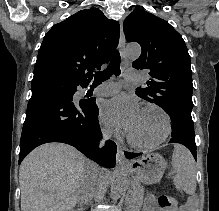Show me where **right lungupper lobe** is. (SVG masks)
Returning a JSON list of instances; mask_svg holds the SVG:
<instances>
[{"label":"right lung upper lobe","instance_id":"1","mask_svg":"<svg viewBox=\"0 0 219 211\" xmlns=\"http://www.w3.org/2000/svg\"><path fill=\"white\" fill-rule=\"evenodd\" d=\"M120 26L97 8L81 10L45 35L31 86L88 85L118 45Z\"/></svg>","mask_w":219,"mask_h":211}]
</instances>
